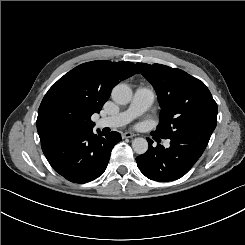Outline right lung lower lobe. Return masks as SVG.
I'll return each instance as SVG.
<instances>
[{"instance_id": "1", "label": "right lung lower lobe", "mask_w": 245, "mask_h": 245, "mask_svg": "<svg viewBox=\"0 0 245 245\" xmlns=\"http://www.w3.org/2000/svg\"><path fill=\"white\" fill-rule=\"evenodd\" d=\"M120 140L118 132L102 137L91 128L51 136L41 141V147L58 174L73 183H86L104 173L112 148Z\"/></svg>"}]
</instances>
